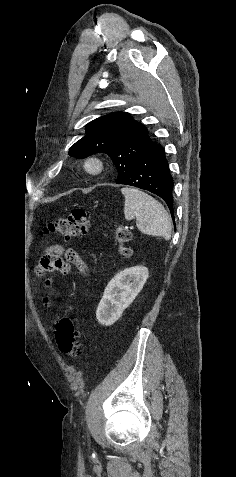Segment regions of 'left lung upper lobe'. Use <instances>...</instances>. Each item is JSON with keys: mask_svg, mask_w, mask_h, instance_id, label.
<instances>
[{"mask_svg": "<svg viewBox=\"0 0 236 477\" xmlns=\"http://www.w3.org/2000/svg\"><path fill=\"white\" fill-rule=\"evenodd\" d=\"M151 143L147 129L129 113L115 112L88 123L86 135L70 148L69 155L82 159L96 153L107 154L117 169L119 183L128 175L135 158Z\"/></svg>", "mask_w": 236, "mask_h": 477, "instance_id": "1", "label": "left lung upper lobe"}]
</instances>
